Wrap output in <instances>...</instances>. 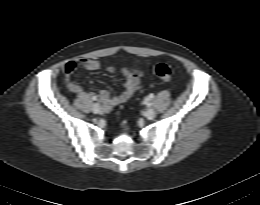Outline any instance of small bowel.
<instances>
[{"label": "small bowel", "instance_id": "1", "mask_svg": "<svg viewBox=\"0 0 260 205\" xmlns=\"http://www.w3.org/2000/svg\"><path fill=\"white\" fill-rule=\"evenodd\" d=\"M78 67H82L88 70H97L100 68V62L92 58H81L77 61H69L65 65L63 69L64 83L70 91L76 93H80L83 91V87L73 79V74ZM108 70L112 73L115 72V69L113 67H110ZM118 73L123 79L124 88L122 92L117 95L111 96L110 92L104 89L101 90L98 94L100 102L104 105L106 109H110L129 100L140 85V71L123 68L119 70Z\"/></svg>", "mask_w": 260, "mask_h": 205}]
</instances>
